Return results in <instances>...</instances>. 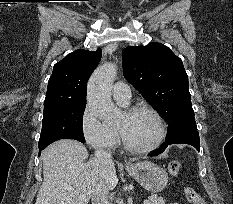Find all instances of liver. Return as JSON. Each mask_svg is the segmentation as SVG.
<instances>
[{
	"mask_svg": "<svg viewBox=\"0 0 233 204\" xmlns=\"http://www.w3.org/2000/svg\"><path fill=\"white\" fill-rule=\"evenodd\" d=\"M41 158L44 180L35 204H88L96 194L105 191L109 195L118 183L114 162L97 158L85 162L88 151L75 140L54 142Z\"/></svg>",
	"mask_w": 233,
	"mask_h": 204,
	"instance_id": "6515ba94",
	"label": "liver"
}]
</instances>
